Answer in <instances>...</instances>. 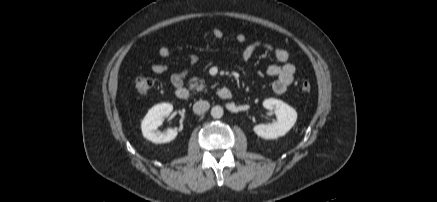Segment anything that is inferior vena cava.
<instances>
[{
  "instance_id": "obj_1",
  "label": "inferior vena cava",
  "mask_w": 437,
  "mask_h": 202,
  "mask_svg": "<svg viewBox=\"0 0 437 202\" xmlns=\"http://www.w3.org/2000/svg\"><path fill=\"white\" fill-rule=\"evenodd\" d=\"M209 107H210L209 102L200 100V101H197L196 103H194L193 111H194V113L200 115V114L205 113L209 109Z\"/></svg>"
}]
</instances>
